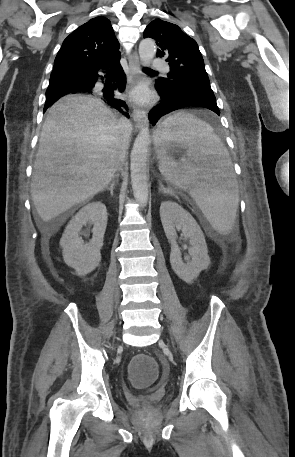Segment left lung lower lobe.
Here are the masks:
<instances>
[{"mask_svg": "<svg viewBox=\"0 0 295 457\" xmlns=\"http://www.w3.org/2000/svg\"><path fill=\"white\" fill-rule=\"evenodd\" d=\"M155 86L162 100L159 105L149 112V119L153 124H155L163 115L184 107H205L212 110L217 115L220 114L213 92L199 91L193 93H181L174 90H163L157 85Z\"/></svg>", "mask_w": 295, "mask_h": 457, "instance_id": "0a47b994", "label": "left lung lower lobe"}]
</instances>
